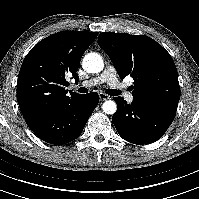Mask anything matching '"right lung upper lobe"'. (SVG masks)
I'll use <instances>...</instances> for the list:
<instances>
[{
	"label": "right lung upper lobe",
	"instance_id": "cb5924a9",
	"mask_svg": "<svg viewBox=\"0 0 199 199\" xmlns=\"http://www.w3.org/2000/svg\"><path fill=\"white\" fill-rule=\"evenodd\" d=\"M98 32L61 31L37 43L25 57L17 81V101L25 120L77 98L67 76L79 80L81 57Z\"/></svg>",
	"mask_w": 199,
	"mask_h": 199
}]
</instances>
